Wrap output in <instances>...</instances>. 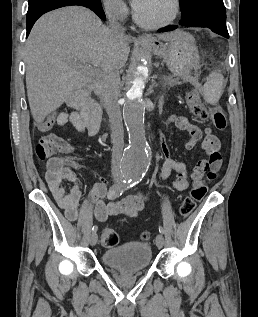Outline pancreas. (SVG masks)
<instances>
[{
	"label": "pancreas",
	"mask_w": 258,
	"mask_h": 317,
	"mask_svg": "<svg viewBox=\"0 0 258 317\" xmlns=\"http://www.w3.org/2000/svg\"><path fill=\"white\" fill-rule=\"evenodd\" d=\"M166 82H168L170 86H175V84H178V82H176V78H172V76H167Z\"/></svg>",
	"instance_id": "cf45deb5"
}]
</instances>
